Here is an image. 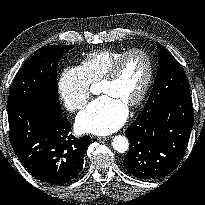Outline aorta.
<instances>
[{
  "label": "aorta",
  "instance_id": "762f6f07",
  "mask_svg": "<svg viewBox=\"0 0 205 205\" xmlns=\"http://www.w3.org/2000/svg\"><path fill=\"white\" fill-rule=\"evenodd\" d=\"M113 149L119 153H124L129 149V141L125 136L117 135L112 141Z\"/></svg>",
  "mask_w": 205,
  "mask_h": 205
}]
</instances>
